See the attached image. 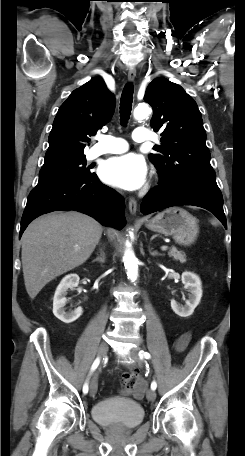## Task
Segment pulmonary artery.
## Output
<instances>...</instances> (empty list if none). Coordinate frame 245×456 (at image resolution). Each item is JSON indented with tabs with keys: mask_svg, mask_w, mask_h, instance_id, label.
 I'll list each match as a JSON object with an SVG mask.
<instances>
[{
	"mask_svg": "<svg viewBox=\"0 0 245 456\" xmlns=\"http://www.w3.org/2000/svg\"><path fill=\"white\" fill-rule=\"evenodd\" d=\"M132 138L138 143L146 142L151 139V134L145 128H136L133 131ZM127 149L128 144L124 139L111 135H101L98 137V142L91 148L89 157L94 159L105 154L123 153Z\"/></svg>",
	"mask_w": 245,
	"mask_h": 456,
	"instance_id": "e3ab8cb5",
	"label": "pulmonary artery"
}]
</instances>
